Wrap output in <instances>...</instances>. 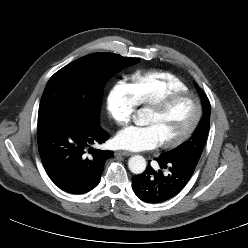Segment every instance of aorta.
Returning a JSON list of instances; mask_svg holds the SVG:
<instances>
[{"label":"aorta","mask_w":248,"mask_h":248,"mask_svg":"<svg viewBox=\"0 0 248 248\" xmlns=\"http://www.w3.org/2000/svg\"><path fill=\"white\" fill-rule=\"evenodd\" d=\"M146 160L143 156L134 155L128 161L129 170L134 174H141L146 169Z\"/></svg>","instance_id":"762f6f07"}]
</instances>
